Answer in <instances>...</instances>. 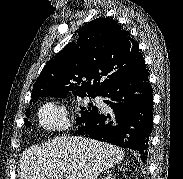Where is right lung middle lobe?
<instances>
[{
  "label": "right lung middle lobe",
  "mask_w": 183,
  "mask_h": 179,
  "mask_svg": "<svg viewBox=\"0 0 183 179\" xmlns=\"http://www.w3.org/2000/svg\"><path fill=\"white\" fill-rule=\"evenodd\" d=\"M88 95H89L90 97H92V98H95V96H97L98 94H88ZM78 96L84 97L85 94H83V95H78ZM57 97H58V98H65V97H67V96H57ZM97 111H98V110H97V107H96V106H93L92 104H89V107H82V108H81V111H80L81 116L76 118V123H77V125H81V124H83L84 122H86L90 117H92L94 114H96ZM29 114H30V111H29V109H27L26 115L29 116ZM25 123H26V124H25L26 126H30V125H31V123L28 122L27 119H25Z\"/></svg>",
  "instance_id": "obj_1"
}]
</instances>
